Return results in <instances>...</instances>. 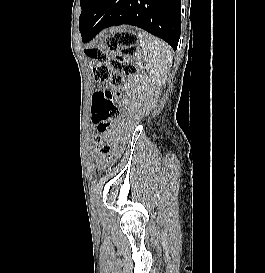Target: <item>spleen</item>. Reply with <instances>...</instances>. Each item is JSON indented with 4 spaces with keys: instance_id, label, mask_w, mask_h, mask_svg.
I'll return each mask as SVG.
<instances>
[{
    "instance_id": "obj_1",
    "label": "spleen",
    "mask_w": 265,
    "mask_h": 273,
    "mask_svg": "<svg viewBox=\"0 0 265 273\" xmlns=\"http://www.w3.org/2000/svg\"><path fill=\"white\" fill-rule=\"evenodd\" d=\"M138 38L142 58L152 82L157 86L164 85L172 64L171 48L164 41L144 31L138 34Z\"/></svg>"
}]
</instances>
